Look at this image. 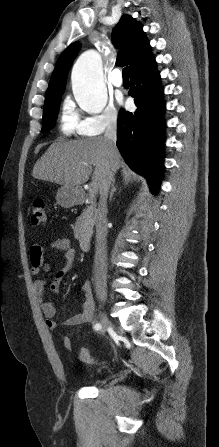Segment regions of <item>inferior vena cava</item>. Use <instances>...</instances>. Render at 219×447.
<instances>
[{
    "label": "inferior vena cava",
    "instance_id": "obj_1",
    "mask_svg": "<svg viewBox=\"0 0 219 447\" xmlns=\"http://www.w3.org/2000/svg\"><path fill=\"white\" fill-rule=\"evenodd\" d=\"M117 124L111 121L105 131L104 139L111 165L100 187L99 214L96 220L95 285L97 295L105 294L107 279V198L116 168L113 157L116 151Z\"/></svg>",
    "mask_w": 219,
    "mask_h": 447
}]
</instances>
